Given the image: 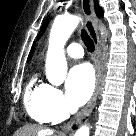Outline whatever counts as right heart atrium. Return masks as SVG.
<instances>
[{"label":"right heart atrium","mask_w":136,"mask_h":136,"mask_svg":"<svg viewBox=\"0 0 136 136\" xmlns=\"http://www.w3.org/2000/svg\"><path fill=\"white\" fill-rule=\"evenodd\" d=\"M43 104L53 121L64 119L70 111L63 93L51 85L44 87Z\"/></svg>","instance_id":"1"}]
</instances>
